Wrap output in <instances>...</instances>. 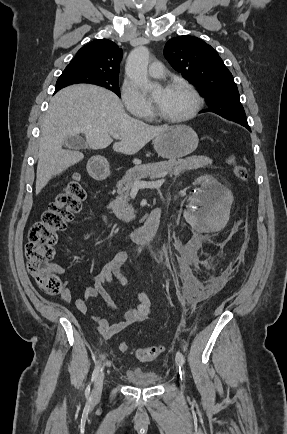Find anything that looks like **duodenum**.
<instances>
[{
	"label": "duodenum",
	"instance_id": "duodenum-1",
	"mask_svg": "<svg viewBox=\"0 0 287 434\" xmlns=\"http://www.w3.org/2000/svg\"><path fill=\"white\" fill-rule=\"evenodd\" d=\"M90 173L96 179H104L109 176L110 172L107 160L99 158L92 161ZM161 216L162 209L160 207L153 209L144 225L131 231L129 233V238L138 244L146 245L150 243L156 235Z\"/></svg>",
	"mask_w": 287,
	"mask_h": 434
}]
</instances>
